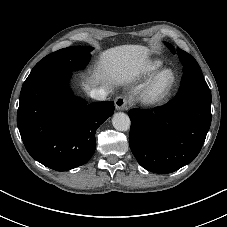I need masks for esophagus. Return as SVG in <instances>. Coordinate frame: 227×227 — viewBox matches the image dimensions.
<instances>
[{"label": "esophagus", "instance_id": "esophagus-1", "mask_svg": "<svg viewBox=\"0 0 227 227\" xmlns=\"http://www.w3.org/2000/svg\"><path fill=\"white\" fill-rule=\"evenodd\" d=\"M127 100L124 97H117L115 99V107L117 110H125L127 108Z\"/></svg>", "mask_w": 227, "mask_h": 227}]
</instances>
